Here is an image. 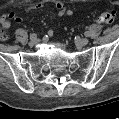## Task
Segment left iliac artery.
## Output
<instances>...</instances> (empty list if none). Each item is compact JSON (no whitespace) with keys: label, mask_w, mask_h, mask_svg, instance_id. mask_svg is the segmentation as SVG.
Segmentation results:
<instances>
[{"label":"left iliac artery","mask_w":119,"mask_h":119,"mask_svg":"<svg viewBox=\"0 0 119 119\" xmlns=\"http://www.w3.org/2000/svg\"><path fill=\"white\" fill-rule=\"evenodd\" d=\"M90 35H91V34H90L89 31H86V32H85V36L89 37Z\"/></svg>","instance_id":"1"}]
</instances>
